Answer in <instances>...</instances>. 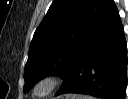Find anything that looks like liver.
I'll list each match as a JSON object with an SVG mask.
<instances>
[{
    "mask_svg": "<svg viewBox=\"0 0 128 99\" xmlns=\"http://www.w3.org/2000/svg\"><path fill=\"white\" fill-rule=\"evenodd\" d=\"M66 97V99H81V98H79L80 96H74V95H67V96H65Z\"/></svg>",
    "mask_w": 128,
    "mask_h": 99,
    "instance_id": "1",
    "label": "liver"
}]
</instances>
